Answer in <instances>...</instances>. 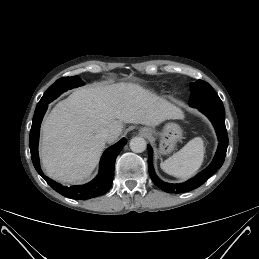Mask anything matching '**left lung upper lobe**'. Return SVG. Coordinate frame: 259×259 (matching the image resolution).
<instances>
[{
  "label": "left lung upper lobe",
  "mask_w": 259,
  "mask_h": 259,
  "mask_svg": "<svg viewBox=\"0 0 259 259\" xmlns=\"http://www.w3.org/2000/svg\"><path fill=\"white\" fill-rule=\"evenodd\" d=\"M190 87V106L222 102L211 85L203 80H198L195 83H191Z\"/></svg>",
  "instance_id": "1"
}]
</instances>
